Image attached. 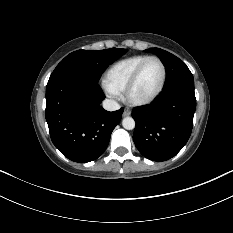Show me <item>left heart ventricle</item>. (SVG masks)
Masks as SVG:
<instances>
[{
	"label": "left heart ventricle",
	"instance_id": "1",
	"mask_svg": "<svg viewBox=\"0 0 233 233\" xmlns=\"http://www.w3.org/2000/svg\"><path fill=\"white\" fill-rule=\"evenodd\" d=\"M162 80V67L156 60L149 61L137 83L135 84L131 97L135 100H143L153 95L159 88Z\"/></svg>",
	"mask_w": 233,
	"mask_h": 233
}]
</instances>
